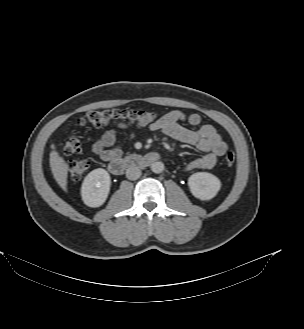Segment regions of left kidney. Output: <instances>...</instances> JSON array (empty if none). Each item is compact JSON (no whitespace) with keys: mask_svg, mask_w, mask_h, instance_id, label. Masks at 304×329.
<instances>
[{"mask_svg":"<svg viewBox=\"0 0 304 329\" xmlns=\"http://www.w3.org/2000/svg\"><path fill=\"white\" fill-rule=\"evenodd\" d=\"M188 186L193 196L205 201L217 195L221 188V182L211 173L197 172L189 177Z\"/></svg>","mask_w":304,"mask_h":329,"instance_id":"5707ae66","label":"left kidney"}]
</instances>
